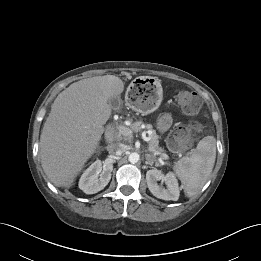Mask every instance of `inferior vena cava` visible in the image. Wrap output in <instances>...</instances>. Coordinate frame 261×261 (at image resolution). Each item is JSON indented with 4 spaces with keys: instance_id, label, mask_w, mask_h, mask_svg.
<instances>
[{
    "instance_id": "1",
    "label": "inferior vena cava",
    "mask_w": 261,
    "mask_h": 261,
    "mask_svg": "<svg viewBox=\"0 0 261 261\" xmlns=\"http://www.w3.org/2000/svg\"><path fill=\"white\" fill-rule=\"evenodd\" d=\"M107 150L111 155L120 156L126 151V146L124 144H109Z\"/></svg>"
}]
</instances>
